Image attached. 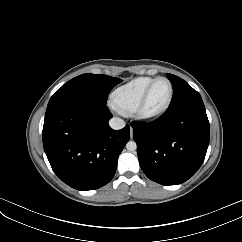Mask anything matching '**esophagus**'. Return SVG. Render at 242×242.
<instances>
[{
	"label": "esophagus",
	"mask_w": 242,
	"mask_h": 242,
	"mask_svg": "<svg viewBox=\"0 0 242 242\" xmlns=\"http://www.w3.org/2000/svg\"><path fill=\"white\" fill-rule=\"evenodd\" d=\"M130 136H131V138L133 137V130L132 129L130 130Z\"/></svg>",
	"instance_id": "esophagus-1"
}]
</instances>
